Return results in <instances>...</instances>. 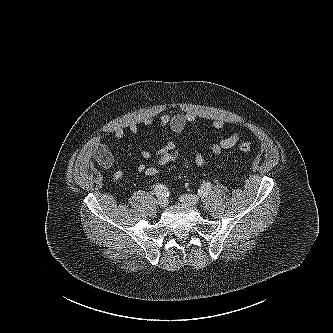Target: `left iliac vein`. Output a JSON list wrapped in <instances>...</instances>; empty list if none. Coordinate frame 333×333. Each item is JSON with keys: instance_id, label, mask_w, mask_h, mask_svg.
Returning a JSON list of instances; mask_svg holds the SVG:
<instances>
[{"instance_id": "1", "label": "left iliac vein", "mask_w": 333, "mask_h": 333, "mask_svg": "<svg viewBox=\"0 0 333 333\" xmlns=\"http://www.w3.org/2000/svg\"><path fill=\"white\" fill-rule=\"evenodd\" d=\"M180 201L189 206H196L199 203V198L196 195L185 194L180 196Z\"/></svg>"}]
</instances>
